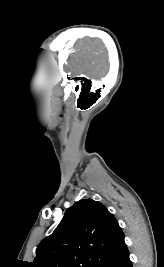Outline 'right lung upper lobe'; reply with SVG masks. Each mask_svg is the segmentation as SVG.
I'll return each mask as SVG.
<instances>
[{
	"mask_svg": "<svg viewBox=\"0 0 164 267\" xmlns=\"http://www.w3.org/2000/svg\"><path fill=\"white\" fill-rule=\"evenodd\" d=\"M125 246L123 231L107 208L80 200L38 245L32 267H99Z\"/></svg>",
	"mask_w": 164,
	"mask_h": 267,
	"instance_id": "obj_1",
	"label": "right lung upper lobe"
}]
</instances>
